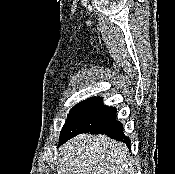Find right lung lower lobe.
I'll return each instance as SVG.
<instances>
[{"mask_svg":"<svg viewBox=\"0 0 175 174\" xmlns=\"http://www.w3.org/2000/svg\"><path fill=\"white\" fill-rule=\"evenodd\" d=\"M102 98L92 97L80 108L60 144L81 133L106 134L112 139L126 143L130 148V139L123 133L122 123L116 120V108L102 104Z\"/></svg>","mask_w":175,"mask_h":174,"instance_id":"obj_1","label":"right lung lower lobe"}]
</instances>
